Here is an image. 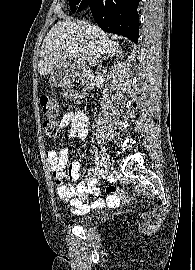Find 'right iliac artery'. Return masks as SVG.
<instances>
[{"mask_svg":"<svg viewBox=\"0 0 195 270\" xmlns=\"http://www.w3.org/2000/svg\"><path fill=\"white\" fill-rule=\"evenodd\" d=\"M95 165H96V169H98V165H99V157L96 155V158H95Z\"/></svg>","mask_w":195,"mask_h":270,"instance_id":"1","label":"right iliac artery"}]
</instances>
